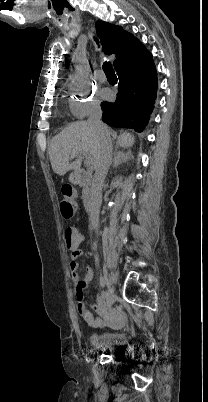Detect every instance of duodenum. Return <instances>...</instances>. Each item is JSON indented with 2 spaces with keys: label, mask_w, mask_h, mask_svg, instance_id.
Here are the masks:
<instances>
[{
  "label": "duodenum",
  "mask_w": 208,
  "mask_h": 402,
  "mask_svg": "<svg viewBox=\"0 0 208 402\" xmlns=\"http://www.w3.org/2000/svg\"><path fill=\"white\" fill-rule=\"evenodd\" d=\"M76 179L80 185L85 186L84 190V195H83V202L84 206L86 209H90L92 205V196H91V191L89 187L87 186L88 184V176L85 172L83 171H77L76 174Z\"/></svg>",
  "instance_id": "obj_1"
}]
</instances>
